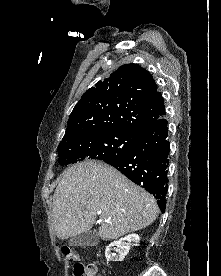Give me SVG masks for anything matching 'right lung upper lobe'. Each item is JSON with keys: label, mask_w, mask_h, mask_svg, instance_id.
I'll return each mask as SVG.
<instances>
[{"label": "right lung upper lobe", "mask_w": 221, "mask_h": 276, "mask_svg": "<svg viewBox=\"0 0 221 276\" xmlns=\"http://www.w3.org/2000/svg\"><path fill=\"white\" fill-rule=\"evenodd\" d=\"M164 115L163 97L152 75L137 64L123 65L83 94L61 142L110 132L138 137Z\"/></svg>", "instance_id": "obj_1"}]
</instances>
